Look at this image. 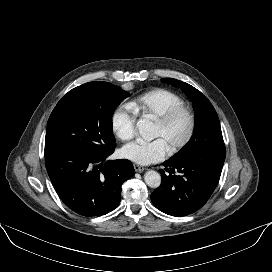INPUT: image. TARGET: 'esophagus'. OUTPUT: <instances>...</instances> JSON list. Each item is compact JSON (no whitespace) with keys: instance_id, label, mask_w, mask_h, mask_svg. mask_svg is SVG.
I'll use <instances>...</instances> for the list:
<instances>
[{"instance_id":"obj_1","label":"esophagus","mask_w":272,"mask_h":272,"mask_svg":"<svg viewBox=\"0 0 272 272\" xmlns=\"http://www.w3.org/2000/svg\"><path fill=\"white\" fill-rule=\"evenodd\" d=\"M134 169L136 172H143L145 170V168L143 166L134 164Z\"/></svg>"}]
</instances>
